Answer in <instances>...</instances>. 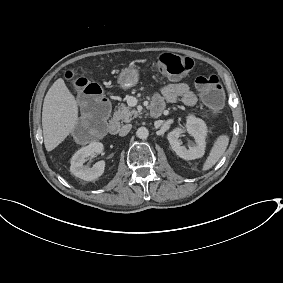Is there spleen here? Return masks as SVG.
I'll list each match as a JSON object with an SVG mask.
<instances>
[{
  "mask_svg": "<svg viewBox=\"0 0 283 283\" xmlns=\"http://www.w3.org/2000/svg\"><path fill=\"white\" fill-rule=\"evenodd\" d=\"M229 140H230L229 136L225 134L219 135L216 138L208 157L203 163L202 166L203 172L213 168V166L221 159V157L224 155L225 151L227 150V147L229 145Z\"/></svg>",
  "mask_w": 283,
  "mask_h": 283,
  "instance_id": "1",
  "label": "spleen"
}]
</instances>
